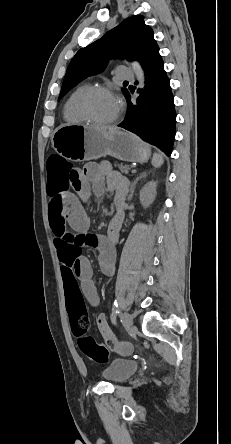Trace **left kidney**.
Instances as JSON below:
<instances>
[{
  "mask_svg": "<svg viewBox=\"0 0 231 444\" xmlns=\"http://www.w3.org/2000/svg\"><path fill=\"white\" fill-rule=\"evenodd\" d=\"M156 182H149L144 185V187L140 191V202L143 207H148L153 203L156 197Z\"/></svg>",
  "mask_w": 231,
  "mask_h": 444,
  "instance_id": "1",
  "label": "left kidney"
}]
</instances>
